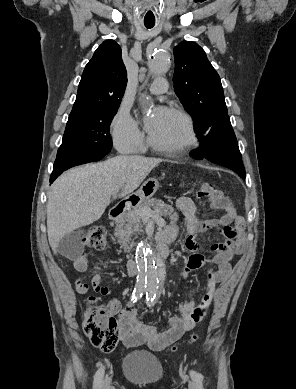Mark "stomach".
I'll return each mask as SVG.
<instances>
[{"label": "stomach", "instance_id": "0dacf381", "mask_svg": "<svg viewBox=\"0 0 296 389\" xmlns=\"http://www.w3.org/2000/svg\"><path fill=\"white\" fill-rule=\"evenodd\" d=\"M158 187V181L154 178H151L142 185V187L135 194V196L139 197L141 200H148L153 196Z\"/></svg>", "mask_w": 296, "mask_h": 389}]
</instances>
